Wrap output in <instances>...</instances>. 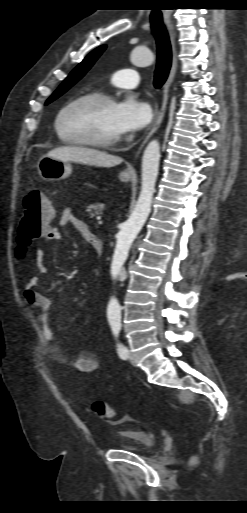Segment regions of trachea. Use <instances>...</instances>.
<instances>
[{
  "instance_id": "obj_1",
  "label": "trachea",
  "mask_w": 247,
  "mask_h": 513,
  "mask_svg": "<svg viewBox=\"0 0 247 513\" xmlns=\"http://www.w3.org/2000/svg\"><path fill=\"white\" fill-rule=\"evenodd\" d=\"M151 28L157 44V64L154 87L160 88L166 81L172 63V51L168 32L163 20L151 17Z\"/></svg>"
}]
</instances>
